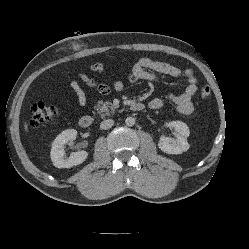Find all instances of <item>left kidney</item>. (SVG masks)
I'll list each match as a JSON object with an SVG mask.
<instances>
[{"label":"left kidney","mask_w":249,"mask_h":249,"mask_svg":"<svg viewBox=\"0 0 249 249\" xmlns=\"http://www.w3.org/2000/svg\"><path fill=\"white\" fill-rule=\"evenodd\" d=\"M166 126L174 128L178 135L176 140L161 136L158 143L159 149L167 154H181L187 151L190 147L187 141V137L190 134L188 126L182 121H172L166 123Z\"/></svg>","instance_id":"obj_1"}]
</instances>
